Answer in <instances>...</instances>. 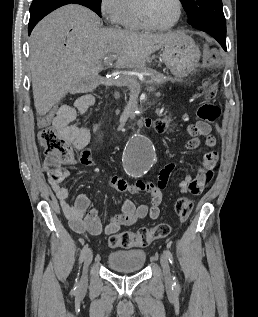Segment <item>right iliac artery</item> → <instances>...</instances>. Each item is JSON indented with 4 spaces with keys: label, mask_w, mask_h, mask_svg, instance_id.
<instances>
[{
    "label": "right iliac artery",
    "mask_w": 258,
    "mask_h": 317,
    "mask_svg": "<svg viewBox=\"0 0 258 317\" xmlns=\"http://www.w3.org/2000/svg\"><path fill=\"white\" fill-rule=\"evenodd\" d=\"M88 251V244L84 245L82 251H81V255H80V258H79V263L81 264L84 260V257H85V254L87 253ZM79 275V273H78ZM79 289V283H78V278L76 279V283L74 285V291L77 292Z\"/></svg>",
    "instance_id": "obj_1"
}]
</instances>
